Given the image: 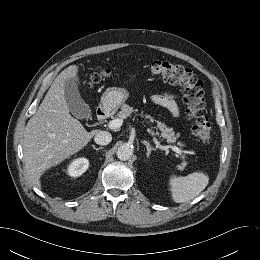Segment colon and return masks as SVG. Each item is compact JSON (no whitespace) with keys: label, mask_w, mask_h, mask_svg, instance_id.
<instances>
[{"label":"colon","mask_w":260,"mask_h":260,"mask_svg":"<svg viewBox=\"0 0 260 260\" xmlns=\"http://www.w3.org/2000/svg\"><path fill=\"white\" fill-rule=\"evenodd\" d=\"M149 70L165 82L179 85L183 89L186 113L192 122V133L201 142L211 139V125L207 116L202 82L187 67L170 61L155 60L150 63ZM109 72L94 74L92 83H98L108 77Z\"/></svg>","instance_id":"obj_1"}]
</instances>
